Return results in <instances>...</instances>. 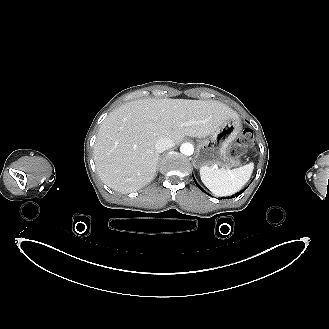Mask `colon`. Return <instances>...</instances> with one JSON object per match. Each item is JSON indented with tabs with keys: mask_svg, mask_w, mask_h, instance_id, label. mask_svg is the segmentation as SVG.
<instances>
[{
	"mask_svg": "<svg viewBox=\"0 0 329 329\" xmlns=\"http://www.w3.org/2000/svg\"><path fill=\"white\" fill-rule=\"evenodd\" d=\"M253 142H254L253 133L248 129L244 130L239 138V145L241 147H250L253 144Z\"/></svg>",
	"mask_w": 329,
	"mask_h": 329,
	"instance_id": "5ec220e1",
	"label": "colon"
}]
</instances>
